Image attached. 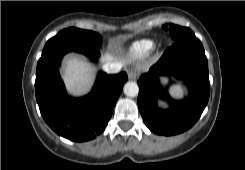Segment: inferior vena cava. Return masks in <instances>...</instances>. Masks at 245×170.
Listing matches in <instances>:
<instances>
[{
  "label": "inferior vena cava",
  "mask_w": 245,
  "mask_h": 170,
  "mask_svg": "<svg viewBox=\"0 0 245 170\" xmlns=\"http://www.w3.org/2000/svg\"><path fill=\"white\" fill-rule=\"evenodd\" d=\"M121 68H122V65L120 63H115V62L108 63L103 66L104 71L110 74L119 73Z\"/></svg>",
  "instance_id": "inferior-vena-cava-1"
}]
</instances>
